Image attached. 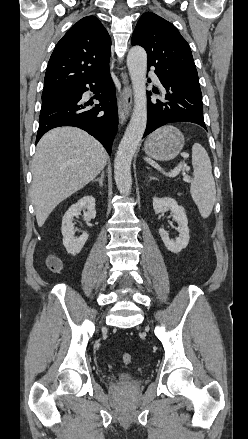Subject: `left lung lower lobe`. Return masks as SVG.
Masks as SVG:
<instances>
[{
	"instance_id": "left-lung-lower-lobe-1",
	"label": "left lung lower lobe",
	"mask_w": 248,
	"mask_h": 439,
	"mask_svg": "<svg viewBox=\"0 0 248 439\" xmlns=\"http://www.w3.org/2000/svg\"><path fill=\"white\" fill-rule=\"evenodd\" d=\"M156 75L163 86L161 94L163 97L148 100V119L143 137L173 122H192L206 129L200 88L174 81L157 73ZM153 92L159 93L158 90H153ZM147 95L150 96L151 92H147Z\"/></svg>"
}]
</instances>
